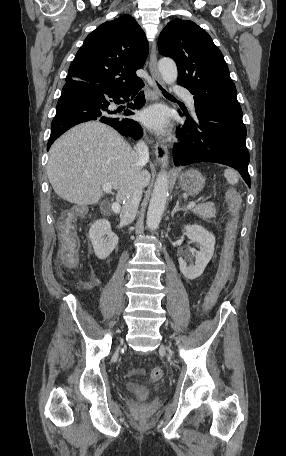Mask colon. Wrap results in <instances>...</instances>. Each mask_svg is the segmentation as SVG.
Masks as SVG:
<instances>
[{
  "label": "colon",
  "mask_w": 286,
  "mask_h": 456,
  "mask_svg": "<svg viewBox=\"0 0 286 456\" xmlns=\"http://www.w3.org/2000/svg\"><path fill=\"white\" fill-rule=\"evenodd\" d=\"M227 203L233 215H236L240 198L236 191L229 189L226 193ZM79 239L76 233L75 224L72 220L65 223L64 231L62 234V247L60 252L61 263L65 268H74L78 259ZM234 257V222L229 226V231L226 239V244L223 250L221 263L217 277L206 293L203 301L204 310H209L216 303L219 294L232 279L234 275L233 266ZM83 284H88L87 281H82ZM163 377V369L161 367H154L151 370L150 378L152 381H159Z\"/></svg>",
  "instance_id": "1"
}]
</instances>
